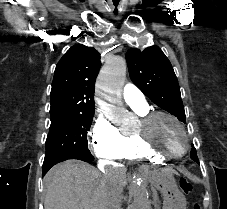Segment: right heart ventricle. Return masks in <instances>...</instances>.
Segmentation results:
<instances>
[{"label": "right heart ventricle", "instance_id": "obj_1", "mask_svg": "<svg viewBox=\"0 0 227 209\" xmlns=\"http://www.w3.org/2000/svg\"><path fill=\"white\" fill-rule=\"evenodd\" d=\"M137 113L142 116L148 109H136ZM119 159L129 162H150L159 163L162 159L147 153L136 140L134 134L125 135V144Z\"/></svg>", "mask_w": 227, "mask_h": 209}]
</instances>
